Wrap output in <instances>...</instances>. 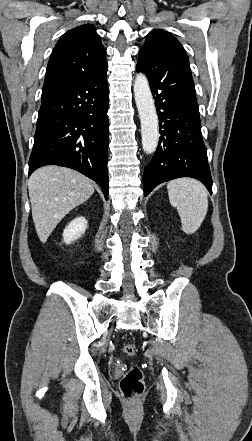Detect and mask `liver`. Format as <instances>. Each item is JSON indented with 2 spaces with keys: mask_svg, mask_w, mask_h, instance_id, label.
<instances>
[{
  "mask_svg": "<svg viewBox=\"0 0 252 441\" xmlns=\"http://www.w3.org/2000/svg\"><path fill=\"white\" fill-rule=\"evenodd\" d=\"M32 218L37 235L46 242L57 224L94 193L90 179L59 166L37 169L28 181Z\"/></svg>",
  "mask_w": 252,
  "mask_h": 441,
  "instance_id": "obj_1",
  "label": "liver"
}]
</instances>
